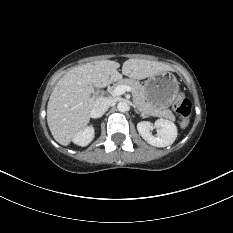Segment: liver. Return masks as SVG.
Instances as JSON below:
<instances>
[{"label": "liver", "mask_w": 233, "mask_h": 233, "mask_svg": "<svg viewBox=\"0 0 233 233\" xmlns=\"http://www.w3.org/2000/svg\"><path fill=\"white\" fill-rule=\"evenodd\" d=\"M118 62L102 60L83 64L67 72L53 89L47 106V123L53 138L67 146L77 132L90 121L95 102L94 87L103 88L118 81L122 74L142 80L163 71H173L168 64L143 59H129L123 63L122 74Z\"/></svg>", "instance_id": "1"}]
</instances>
